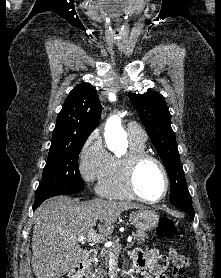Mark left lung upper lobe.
I'll return each instance as SVG.
<instances>
[{
    "instance_id": "1",
    "label": "left lung upper lobe",
    "mask_w": 221,
    "mask_h": 278,
    "mask_svg": "<svg viewBox=\"0 0 221 278\" xmlns=\"http://www.w3.org/2000/svg\"><path fill=\"white\" fill-rule=\"evenodd\" d=\"M129 98L169 174L171 203L192 201L171 128L170 113L163 96L155 91H148L142 95L130 93Z\"/></svg>"
}]
</instances>
